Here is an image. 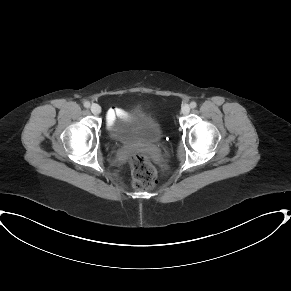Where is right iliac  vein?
Instances as JSON below:
<instances>
[{"instance_id":"1","label":"right iliac vein","mask_w":291,"mask_h":291,"mask_svg":"<svg viewBox=\"0 0 291 291\" xmlns=\"http://www.w3.org/2000/svg\"><path fill=\"white\" fill-rule=\"evenodd\" d=\"M90 110L94 115H98L101 113V107L98 104H92Z\"/></svg>"}]
</instances>
